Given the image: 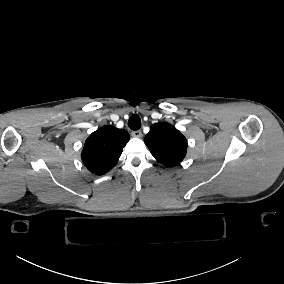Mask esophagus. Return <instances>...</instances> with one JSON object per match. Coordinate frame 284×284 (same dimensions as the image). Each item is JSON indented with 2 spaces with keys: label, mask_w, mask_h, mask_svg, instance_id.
<instances>
[{
  "label": "esophagus",
  "mask_w": 284,
  "mask_h": 284,
  "mask_svg": "<svg viewBox=\"0 0 284 284\" xmlns=\"http://www.w3.org/2000/svg\"><path fill=\"white\" fill-rule=\"evenodd\" d=\"M131 135H132L133 137H135V138H140V137H142V133H141L140 130L132 131V132H131Z\"/></svg>",
  "instance_id": "obj_1"
}]
</instances>
